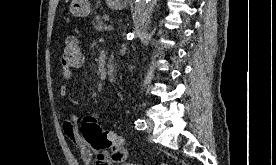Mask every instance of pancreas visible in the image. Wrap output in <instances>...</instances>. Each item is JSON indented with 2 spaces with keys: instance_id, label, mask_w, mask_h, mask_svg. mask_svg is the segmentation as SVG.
<instances>
[{
  "instance_id": "obj_1",
  "label": "pancreas",
  "mask_w": 276,
  "mask_h": 165,
  "mask_svg": "<svg viewBox=\"0 0 276 165\" xmlns=\"http://www.w3.org/2000/svg\"><path fill=\"white\" fill-rule=\"evenodd\" d=\"M104 21H108L109 20V16L108 15H105L103 17L101 16H96V18L93 20L92 24L95 28L96 31H102L105 29V24H104Z\"/></svg>"
}]
</instances>
